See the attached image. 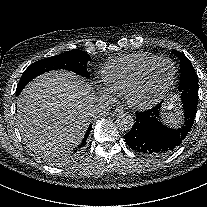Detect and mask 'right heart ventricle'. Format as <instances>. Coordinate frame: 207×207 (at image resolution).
Instances as JSON below:
<instances>
[{"label": "right heart ventricle", "instance_id": "1", "mask_svg": "<svg viewBox=\"0 0 207 207\" xmlns=\"http://www.w3.org/2000/svg\"><path fill=\"white\" fill-rule=\"evenodd\" d=\"M158 58L154 54L139 53L108 63L102 70L105 91L110 97H125L142 71Z\"/></svg>", "mask_w": 207, "mask_h": 207}]
</instances>
